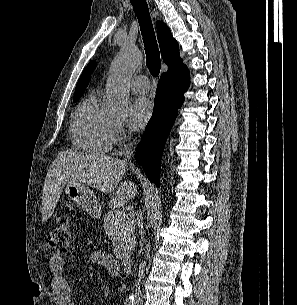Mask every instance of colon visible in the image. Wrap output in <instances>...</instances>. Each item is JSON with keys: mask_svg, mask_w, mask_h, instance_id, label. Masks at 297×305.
Masks as SVG:
<instances>
[{"mask_svg": "<svg viewBox=\"0 0 297 305\" xmlns=\"http://www.w3.org/2000/svg\"><path fill=\"white\" fill-rule=\"evenodd\" d=\"M71 242V221L67 216L58 218L55 226L51 230L47 253L53 257L68 255Z\"/></svg>", "mask_w": 297, "mask_h": 305, "instance_id": "1", "label": "colon"}]
</instances>
